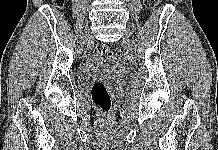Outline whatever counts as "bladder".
<instances>
[{"mask_svg": "<svg viewBox=\"0 0 218 150\" xmlns=\"http://www.w3.org/2000/svg\"><path fill=\"white\" fill-rule=\"evenodd\" d=\"M113 66L108 61L94 60L87 68L88 74H110L113 72Z\"/></svg>", "mask_w": 218, "mask_h": 150, "instance_id": "bladder-1", "label": "bladder"}]
</instances>
